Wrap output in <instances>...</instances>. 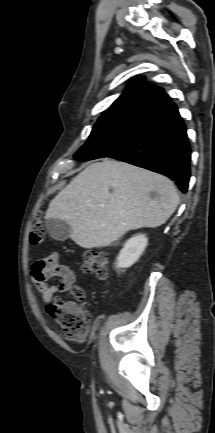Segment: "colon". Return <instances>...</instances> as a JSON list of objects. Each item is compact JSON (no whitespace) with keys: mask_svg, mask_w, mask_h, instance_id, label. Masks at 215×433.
Returning a JSON list of instances; mask_svg holds the SVG:
<instances>
[{"mask_svg":"<svg viewBox=\"0 0 215 433\" xmlns=\"http://www.w3.org/2000/svg\"><path fill=\"white\" fill-rule=\"evenodd\" d=\"M44 234V221L40 213H38L30 233L31 243L33 245L42 244ZM107 264V251H89L83 254L80 267L83 273L93 274L99 279H104L108 275ZM72 295L77 300L84 299V293L79 287L72 289ZM47 311L61 328L66 338L75 342H84L86 340L91 318L88 306L78 307L73 301H65L57 297L48 305Z\"/></svg>","mask_w":215,"mask_h":433,"instance_id":"5ec220e1","label":"colon"}]
</instances>
